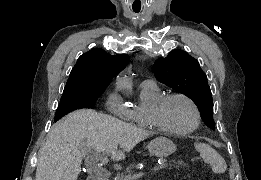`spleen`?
<instances>
[{"mask_svg": "<svg viewBox=\"0 0 261 180\" xmlns=\"http://www.w3.org/2000/svg\"><path fill=\"white\" fill-rule=\"evenodd\" d=\"M194 146L204 162L210 164L214 174H224L226 172V162L216 150H213L208 144H194Z\"/></svg>", "mask_w": 261, "mask_h": 180, "instance_id": "obj_1", "label": "spleen"}]
</instances>
